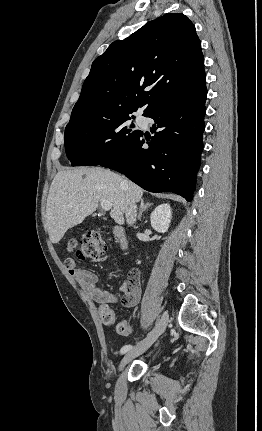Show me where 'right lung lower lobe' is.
<instances>
[{
	"instance_id": "right-lung-lower-lobe-1",
	"label": "right lung lower lobe",
	"mask_w": 262,
	"mask_h": 431,
	"mask_svg": "<svg viewBox=\"0 0 262 431\" xmlns=\"http://www.w3.org/2000/svg\"><path fill=\"white\" fill-rule=\"evenodd\" d=\"M204 86L191 98L161 107L147 117L155 121L146 137L140 132L115 157L99 165L116 170L151 192H173L193 199L203 150ZM148 144V148L142 145Z\"/></svg>"
}]
</instances>
